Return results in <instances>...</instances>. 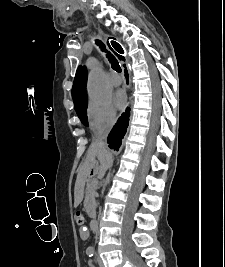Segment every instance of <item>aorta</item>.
Returning <instances> with one entry per match:
<instances>
[{"mask_svg": "<svg viewBox=\"0 0 225 267\" xmlns=\"http://www.w3.org/2000/svg\"><path fill=\"white\" fill-rule=\"evenodd\" d=\"M88 95L95 103L106 102L110 97L109 88L99 70H92L88 76Z\"/></svg>", "mask_w": 225, "mask_h": 267, "instance_id": "obj_1", "label": "aorta"}]
</instances>
